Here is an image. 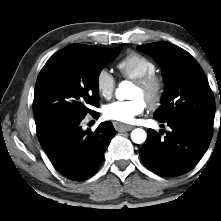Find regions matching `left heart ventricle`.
Instances as JSON below:
<instances>
[{"label": "left heart ventricle", "mask_w": 221, "mask_h": 221, "mask_svg": "<svg viewBox=\"0 0 221 221\" xmlns=\"http://www.w3.org/2000/svg\"><path fill=\"white\" fill-rule=\"evenodd\" d=\"M130 97H131L132 99H134V98H140V99L144 100L145 95H144V92H143L139 87H137V86L134 84V86H133V88H132V91H131V94H130Z\"/></svg>", "instance_id": "left-heart-ventricle-1"}]
</instances>
